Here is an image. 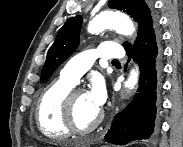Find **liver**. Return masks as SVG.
Here are the masks:
<instances>
[{
    "label": "liver",
    "mask_w": 183,
    "mask_h": 147,
    "mask_svg": "<svg viewBox=\"0 0 183 147\" xmlns=\"http://www.w3.org/2000/svg\"><path fill=\"white\" fill-rule=\"evenodd\" d=\"M63 147H77L85 146L83 142L80 141H66L61 144Z\"/></svg>",
    "instance_id": "liver-1"
}]
</instances>
